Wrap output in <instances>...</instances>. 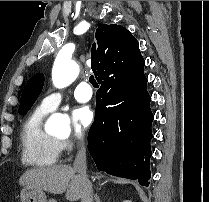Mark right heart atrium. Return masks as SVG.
<instances>
[{
  "mask_svg": "<svg viewBox=\"0 0 209 202\" xmlns=\"http://www.w3.org/2000/svg\"><path fill=\"white\" fill-rule=\"evenodd\" d=\"M59 144L61 149H70L73 146L72 141L69 139H60Z\"/></svg>",
  "mask_w": 209,
  "mask_h": 202,
  "instance_id": "d8ad5b80",
  "label": "right heart atrium"
}]
</instances>
